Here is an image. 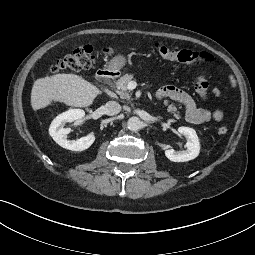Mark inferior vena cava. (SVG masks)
<instances>
[{"instance_id":"602c4592","label":"inferior vena cava","mask_w":255,"mask_h":255,"mask_svg":"<svg viewBox=\"0 0 255 255\" xmlns=\"http://www.w3.org/2000/svg\"><path fill=\"white\" fill-rule=\"evenodd\" d=\"M121 109V105L116 101H109L105 104V112L109 116L117 115Z\"/></svg>"}]
</instances>
